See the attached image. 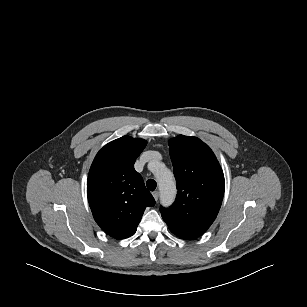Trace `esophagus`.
<instances>
[{
	"label": "esophagus",
	"instance_id": "1",
	"mask_svg": "<svg viewBox=\"0 0 307 307\" xmlns=\"http://www.w3.org/2000/svg\"><path fill=\"white\" fill-rule=\"evenodd\" d=\"M152 195H153L154 199L157 201L158 198H159V192H158V191H154V192L152 193Z\"/></svg>",
	"mask_w": 307,
	"mask_h": 307
}]
</instances>
